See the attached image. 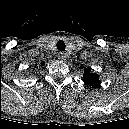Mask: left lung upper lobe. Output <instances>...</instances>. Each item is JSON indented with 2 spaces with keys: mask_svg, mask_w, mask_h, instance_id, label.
I'll list each match as a JSON object with an SVG mask.
<instances>
[{
  "mask_svg": "<svg viewBox=\"0 0 129 129\" xmlns=\"http://www.w3.org/2000/svg\"><path fill=\"white\" fill-rule=\"evenodd\" d=\"M83 81L93 87H97L100 84L99 76L95 73H91L90 69L85 70Z\"/></svg>",
  "mask_w": 129,
  "mask_h": 129,
  "instance_id": "5c2ea615",
  "label": "left lung upper lobe"
}]
</instances>
